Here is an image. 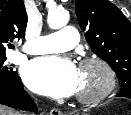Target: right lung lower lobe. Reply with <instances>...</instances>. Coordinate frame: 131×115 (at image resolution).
Masks as SVG:
<instances>
[{
	"label": "right lung lower lobe",
	"mask_w": 131,
	"mask_h": 115,
	"mask_svg": "<svg viewBox=\"0 0 131 115\" xmlns=\"http://www.w3.org/2000/svg\"><path fill=\"white\" fill-rule=\"evenodd\" d=\"M0 104L37 112L36 105L26 91L23 90L20 78L10 85H0Z\"/></svg>",
	"instance_id": "1"
}]
</instances>
